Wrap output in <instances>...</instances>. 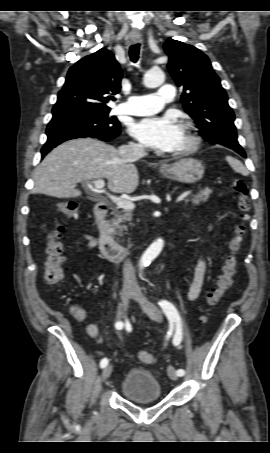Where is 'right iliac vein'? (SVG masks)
Listing matches in <instances>:
<instances>
[{
    "instance_id": "obj_1",
    "label": "right iliac vein",
    "mask_w": 270,
    "mask_h": 453,
    "mask_svg": "<svg viewBox=\"0 0 270 453\" xmlns=\"http://www.w3.org/2000/svg\"><path fill=\"white\" fill-rule=\"evenodd\" d=\"M132 288L129 285H125L122 291L121 295V303H120V316L122 318L126 317V312H127V307H128V302H129V296L131 295ZM113 370L112 365L106 366L103 371H102V380L105 381L107 380Z\"/></svg>"
}]
</instances>
